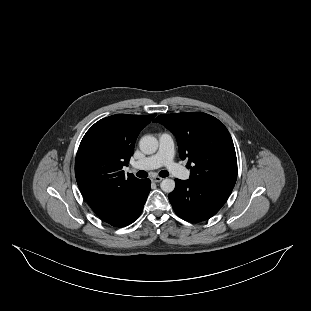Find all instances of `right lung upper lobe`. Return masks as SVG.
I'll return each mask as SVG.
<instances>
[{
	"mask_svg": "<svg viewBox=\"0 0 311 311\" xmlns=\"http://www.w3.org/2000/svg\"><path fill=\"white\" fill-rule=\"evenodd\" d=\"M156 116L116 114L96 122L84 135L75 160L79 189L97 214L139 183L122 168L129 162L140 131Z\"/></svg>",
	"mask_w": 311,
	"mask_h": 311,
	"instance_id": "1",
	"label": "right lung upper lobe"
}]
</instances>
